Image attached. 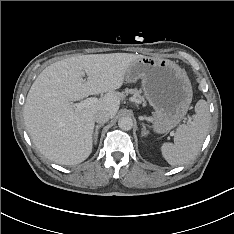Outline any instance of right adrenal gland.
<instances>
[{
  "label": "right adrenal gland",
  "mask_w": 234,
  "mask_h": 234,
  "mask_svg": "<svg viewBox=\"0 0 234 234\" xmlns=\"http://www.w3.org/2000/svg\"><path fill=\"white\" fill-rule=\"evenodd\" d=\"M103 126V124L96 125L95 132H94V143H97L98 139V130Z\"/></svg>",
  "instance_id": "right-adrenal-gland-1"
}]
</instances>
